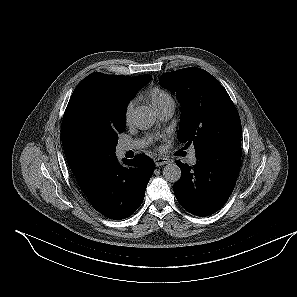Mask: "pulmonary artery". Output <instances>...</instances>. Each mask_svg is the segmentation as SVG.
I'll list each match as a JSON object with an SVG mask.
<instances>
[{
  "mask_svg": "<svg viewBox=\"0 0 297 297\" xmlns=\"http://www.w3.org/2000/svg\"><path fill=\"white\" fill-rule=\"evenodd\" d=\"M174 110H175V103L173 99L168 100L157 109L160 119L164 121L170 119L173 116ZM145 145H146V142L144 140L125 141L119 145V151L121 153H126L131 150L133 151L139 150V149H142ZM189 161L191 163L196 162V152L194 149H192L189 154Z\"/></svg>",
  "mask_w": 297,
  "mask_h": 297,
  "instance_id": "pulmonary-artery-1",
  "label": "pulmonary artery"
}]
</instances>
